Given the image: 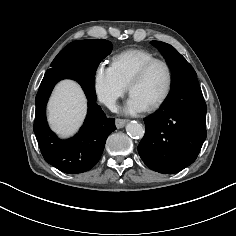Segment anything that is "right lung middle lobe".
<instances>
[{
    "label": "right lung middle lobe",
    "mask_w": 236,
    "mask_h": 236,
    "mask_svg": "<svg viewBox=\"0 0 236 236\" xmlns=\"http://www.w3.org/2000/svg\"><path fill=\"white\" fill-rule=\"evenodd\" d=\"M112 51V44L107 40H79L68 44L51 63L52 68H74L84 66L80 55L93 53L96 59L105 58ZM51 68V69H52ZM50 70V69H49Z\"/></svg>",
    "instance_id": "obj_1"
}]
</instances>
